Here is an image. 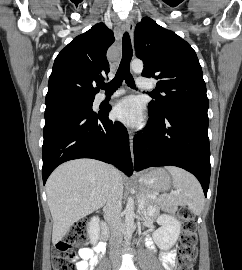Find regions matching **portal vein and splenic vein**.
<instances>
[{
    "mask_svg": "<svg viewBox=\"0 0 242 270\" xmlns=\"http://www.w3.org/2000/svg\"><path fill=\"white\" fill-rule=\"evenodd\" d=\"M144 207V199L139 204V209H142Z\"/></svg>",
    "mask_w": 242,
    "mask_h": 270,
    "instance_id": "obj_1",
    "label": "portal vein and splenic vein"
}]
</instances>
